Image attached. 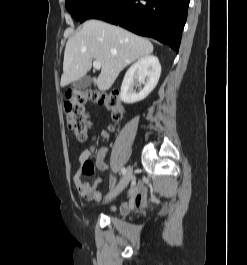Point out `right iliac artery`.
Segmentation results:
<instances>
[{"label": "right iliac artery", "mask_w": 247, "mask_h": 265, "mask_svg": "<svg viewBox=\"0 0 247 265\" xmlns=\"http://www.w3.org/2000/svg\"><path fill=\"white\" fill-rule=\"evenodd\" d=\"M121 172H122L123 175H125L126 174V169L125 168H122L121 169Z\"/></svg>", "instance_id": "right-iliac-artery-1"}]
</instances>
